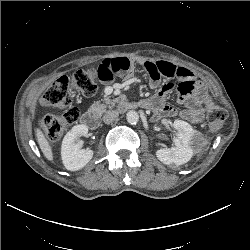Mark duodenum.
Segmentation results:
<instances>
[{
    "label": "duodenum",
    "mask_w": 250,
    "mask_h": 250,
    "mask_svg": "<svg viewBox=\"0 0 250 250\" xmlns=\"http://www.w3.org/2000/svg\"><path fill=\"white\" fill-rule=\"evenodd\" d=\"M139 104L129 102V101H122L118 105V110L121 113H125L126 111L136 108ZM82 122L85 126H87L91 130H95L99 127V119L97 113L94 111H86L82 116Z\"/></svg>",
    "instance_id": "410a0bca"
}]
</instances>
